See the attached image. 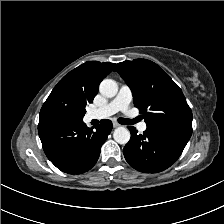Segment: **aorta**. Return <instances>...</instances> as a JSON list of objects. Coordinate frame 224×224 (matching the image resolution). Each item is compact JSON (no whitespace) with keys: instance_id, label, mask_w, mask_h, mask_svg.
<instances>
[{"instance_id":"obj_1","label":"aorta","mask_w":224,"mask_h":224,"mask_svg":"<svg viewBox=\"0 0 224 224\" xmlns=\"http://www.w3.org/2000/svg\"><path fill=\"white\" fill-rule=\"evenodd\" d=\"M99 91L103 96L111 98L117 94L118 85L112 79H104L100 83ZM130 137V131L125 127H118L113 132L114 140L121 145L127 144L130 140Z\"/></svg>"}]
</instances>
